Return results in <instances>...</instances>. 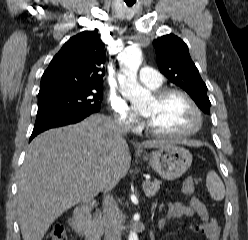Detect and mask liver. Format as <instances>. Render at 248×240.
Wrapping results in <instances>:
<instances>
[{"instance_id":"obj_1","label":"liver","mask_w":248,"mask_h":240,"mask_svg":"<svg viewBox=\"0 0 248 240\" xmlns=\"http://www.w3.org/2000/svg\"><path fill=\"white\" fill-rule=\"evenodd\" d=\"M169 144L150 140L142 146ZM130 164L123 134L103 115L38 135L19 173L17 212L23 240H42L63 212L91 201L109 182L115 186Z\"/></svg>"}]
</instances>
